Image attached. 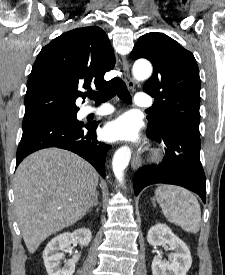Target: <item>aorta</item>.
I'll use <instances>...</instances> for the list:
<instances>
[{"mask_svg": "<svg viewBox=\"0 0 225 275\" xmlns=\"http://www.w3.org/2000/svg\"><path fill=\"white\" fill-rule=\"evenodd\" d=\"M134 79L143 81L148 79L152 74V66L148 61H137L132 68ZM131 159V150L124 146L119 148L113 157L112 168L116 179L122 183L124 180V171Z\"/></svg>", "mask_w": 225, "mask_h": 275, "instance_id": "1", "label": "aorta"}]
</instances>
